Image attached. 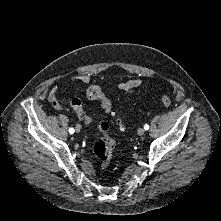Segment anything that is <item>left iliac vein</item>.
<instances>
[{"instance_id": "4c4485c4", "label": "left iliac vein", "mask_w": 221, "mask_h": 221, "mask_svg": "<svg viewBox=\"0 0 221 221\" xmlns=\"http://www.w3.org/2000/svg\"><path fill=\"white\" fill-rule=\"evenodd\" d=\"M144 133H145V129L144 128H139L137 130V134L140 135V136H142Z\"/></svg>"}]
</instances>
